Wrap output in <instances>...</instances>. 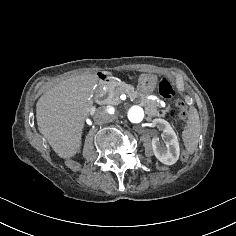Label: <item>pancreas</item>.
Wrapping results in <instances>:
<instances>
[{
	"mask_svg": "<svg viewBox=\"0 0 236 236\" xmlns=\"http://www.w3.org/2000/svg\"><path fill=\"white\" fill-rule=\"evenodd\" d=\"M111 87L113 89L115 97H119L121 94L127 95L132 101L138 102V104L144 107L145 113L149 117H165L167 110H161V104L156 100H147L145 94L139 93L134 90V87L129 84H119L112 82Z\"/></svg>",
	"mask_w": 236,
	"mask_h": 236,
	"instance_id": "pancreas-1",
	"label": "pancreas"
}]
</instances>
